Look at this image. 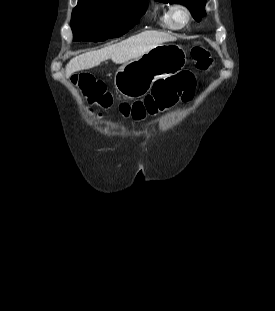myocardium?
Here are the masks:
<instances>
[{"instance_id":"myocardium-1","label":"myocardium","mask_w":275,"mask_h":311,"mask_svg":"<svg viewBox=\"0 0 275 311\" xmlns=\"http://www.w3.org/2000/svg\"><path fill=\"white\" fill-rule=\"evenodd\" d=\"M178 12H181L184 14L185 16V20L183 23H178L177 20H176V14ZM170 20H171V23L172 25L176 28V29H183L185 28L186 26H188V24L190 23L191 21V13L189 11V9L182 5V4H175L173 5L171 8H170Z\"/></svg>"}]
</instances>
